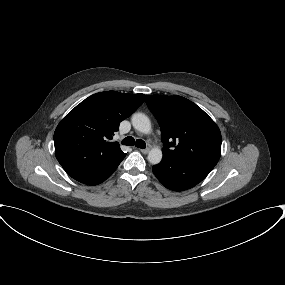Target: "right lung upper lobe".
<instances>
[{
    "instance_id": "right-lung-upper-lobe-1",
    "label": "right lung upper lobe",
    "mask_w": 285,
    "mask_h": 285,
    "mask_svg": "<svg viewBox=\"0 0 285 285\" xmlns=\"http://www.w3.org/2000/svg\"><path fill=\"white\" fill-rule=\"evenodd\" d=\"M145 100L144 94L105 91L78 104L58 124L54 133L55 155L61 165L79 163L84 167L109 165L124 157L117 142H108Z\"/></svg>"
}]
</instances>
